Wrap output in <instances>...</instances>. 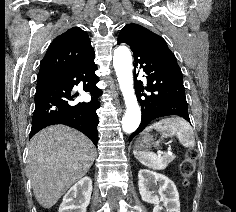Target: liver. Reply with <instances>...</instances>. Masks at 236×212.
Instances as JSON below:
<instances>
[{
    "instance_id": "liver-1",
    "label": "liver",
    "mask_w": 236,
    "mask_h": 212,
    "mask_svg": "<svg viewBox=\"0 0 236 212\" xmlns=\"http://www.w3.org/2000/svg\"><path fill=\"white\" fill-rule=\"evenodd\" d=\"M96 155L94 144L65 125L49 126L33 136L29 145L28 174L33 193L44 208H51L82 179Z\"/></svg>"
}]
</instances>
